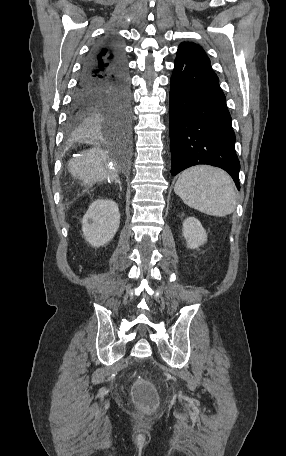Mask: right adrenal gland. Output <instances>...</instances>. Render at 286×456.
Returning a JSON list of instances; mask_svg holds the SVG:
<instances>
[{
  "mask_svg": "<svg viewBox=\"0 0 286 456\" xmlns=\"http://www.w3.org/2000/svg\"><path fill=\"white\" fill-rule=\"evenodd\" d=\"M119 185H120V190L122 191V187H121V184L119 183Z\"/></svg>",
  "mask_w": 286,
  "mask_h": 456,
  "instance_id": "2a0ac1e0",
  "label": "right adrenal gland"
}]
</instances>
